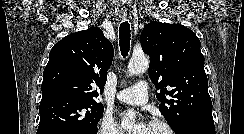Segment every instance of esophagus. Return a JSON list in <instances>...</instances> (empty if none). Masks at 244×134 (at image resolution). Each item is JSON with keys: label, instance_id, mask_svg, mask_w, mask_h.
<instances>
[{"label": "esophagus", "instance_id": "obj_1", "mask_svg": "<svg viewBox=\"0 0 244 134\" xmlns=\"http://www.w3.org/2000/svg\"><path fill=\"white\" fill-rule=\"evenodd\" d=\"M120 16H121V18H122L123 20H126L127 17H128V14H127L126 12H122V13L120 14Z\"/></svg>", "mask_w": 244, "mask_h": 134}]
</instances>
